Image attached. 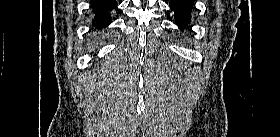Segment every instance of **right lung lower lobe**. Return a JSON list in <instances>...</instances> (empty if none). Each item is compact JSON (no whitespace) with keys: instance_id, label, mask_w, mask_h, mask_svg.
Here are the masks:
<instances>
[{"instance_id":"1","label":"right lung lower lobe","mask_w":280,"mask_h":137,"mask_svg":"<svg viewBox=\"0 0 280 137\" xmlns=\"http://www.w3.org/2000/svg\"><path fill=\"white\" fill-rule=\"evenodd\" d=\"M116 0H92L91 8L94 13L93 23L98 28L107 27L111 23L110 12L116 8Z\"/></svg>"}]
</instances>
